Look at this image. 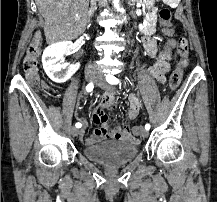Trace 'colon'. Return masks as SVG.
<instances>
[{
	"mask_svg": "<svg viewBox=\"0 0 217 202\" xmlns=\"http://www.w3.org/2000/svg\"><path fill=\"white\" fill-rule=\"evenodd\" d=\"M158 15L163 32L172 35L174 28L171 24V10L163 7L159 10ZM172 44L177 55V65L170 76L169 86L171 90H176L181 83L184 71L189 65L190 42L185 36H177L173 39ZM40 47L41 34L36 33L33 40L29 41V47L23 59V70L29 83L37 84L39 82L38 56ZM39 91H46V86H39ZM132 132H139V127H132Z\"/></svg>",
	"mask_w": 217,
	"mask_h": 202,
	"instance_id": "1",
	"label": "colon"
}]
</instances>
